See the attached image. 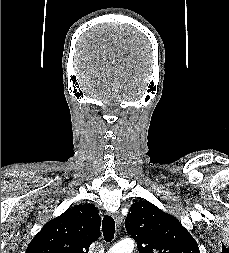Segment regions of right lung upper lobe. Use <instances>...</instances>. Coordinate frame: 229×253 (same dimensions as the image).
<instances>
[{"label": "right lung upper lobe", "instance_id": "1", "mask_svg": "<svg viewBox=\"0 0 229 253\" xmlns=\"http://www.w3.org/2000/svg\"><path fill=\"white\" fill-rule=\"evenodd\" d=\"M101 218L92 204H79L47 222L26 253H88L100 233Z\"/></svg>", "mask_w": 229, "mask_h": 253}]
</instances>
